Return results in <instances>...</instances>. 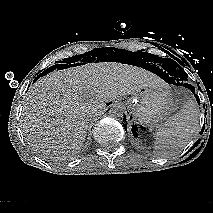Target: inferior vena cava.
Segmentation results:
<instances>
[{"instance_id": "inferior-vena-cava-1", "label": "inferior vena cava", "mask_w": 213, "mask_h": 213, "mask_svg": "<svg viewBox=\"0 0 213 213\" xmlns=\"http://www.w3.org/2000/svg\"><path fill=\"white\" fill-rule=\"evenodd\" d=\"M97 116H98V113L95 112V111H92L91 114H90L91 118H94V117H97Z\"/></svg>"}]
</instances>
